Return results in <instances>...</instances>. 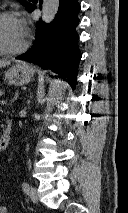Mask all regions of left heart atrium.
Listing matches in <instances>:
<instances>
[{"mask_svg":"<svg viewBox=\"0 0 128 213\" xmlns=\"http://www.w3.org/2000/svg\"><path fill=\"white\" fill-rule=\"evenodd\" d=\"M18 24L21 28V30L23 31L24 34H26V22L24 19H17Z\"/></svg>","mask_w":128,"mask_h":213,"instance_id":"39dd6f15","label":"left heart atrium"}]
</instances>
